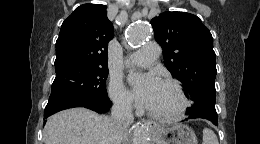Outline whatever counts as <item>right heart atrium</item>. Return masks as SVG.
Listing matches in <instances>:
<instances>
[{"instance_id": "1", "label": "right heart atrium", "mask_w": 260, "mask_h": 144, "mask_svg": "<svg viewBox=\"0 0 260 144\" xmlns=\"http://www.w3.org/2000/svg\"><path fill=\"white\" fill-rule=\"evenodd\" d=\"M109 96L113 103L120 109L130 110L134 106V100L130 92L126 89L120 77H111L109 81Z\"/></svg>"}]
</instances>
